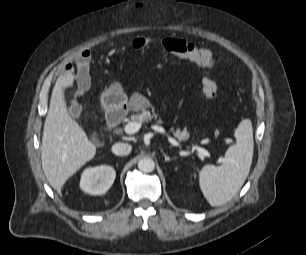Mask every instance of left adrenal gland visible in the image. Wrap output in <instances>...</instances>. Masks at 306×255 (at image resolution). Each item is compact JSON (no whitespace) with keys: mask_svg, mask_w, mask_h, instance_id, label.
Here are the masks:
<instances>
[{"mask_svg":"<svg viewBox=\"0 0 306 255\" xmlns=\"http://www.w3.org/2000/svg\"><path fill=\"white\" fill-rule=\"evenodd\" d=\"M163 156H164V158H165V162L172 161V160H175V159H176V157H169V156H167L165 153H163Z\"/></svg>","mask_w":306,"mask_h":255,"instance_id":"1","label":"left adrenal gland"}]
</instances>
